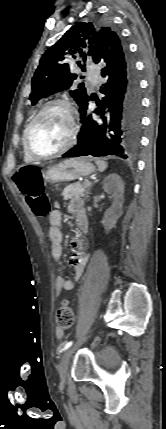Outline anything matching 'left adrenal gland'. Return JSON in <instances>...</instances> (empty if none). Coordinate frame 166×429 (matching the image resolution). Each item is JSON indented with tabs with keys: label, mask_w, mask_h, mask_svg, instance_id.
<instances>
[{
	"label": "left adrenal gland",
	"mask_w": 166,
	"mask_h": 429,
	"mask_svg": "<svg viewBox=\"0 0 166 429\" xmlns=\"http://www.w3.org/2000/svg\"><path fill=\"white\" fill-rule=\"evenodd\" d=\"M98 180H95L94 181V183H96ZM92 185H90L89 187H88V189H87V191H86V193L88 194L89 193V190H90V187H91Z\"/></svg>",
	"instance_id": "left-adrenal-gland-1"
}]
</instances>
